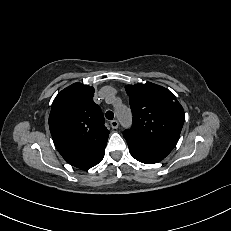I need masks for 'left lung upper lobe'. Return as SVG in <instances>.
<instances>
[{"mask_svg":"<svg viewBox=\"0 0 231 231\" xmlns=\"http://www.w3.org/2000/svg\"><path fill=\"white\" fill-rule=\"evenodd\" d=\"M125 89L133 113L131 129L123 132L128 146L165 158L175 146L184 123L181 104L172 92L153 83L127 85Z\"/></svg>","mask_w":231,"mask_h":231,"instance_id":"5c2ea615","label":"left lung upper lobe"}]
</instances>
